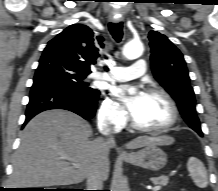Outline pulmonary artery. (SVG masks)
Segmentation results:
<instances>
[{
    "label": "pulmonary artery",
    "mask_w": 218,
    "mask_h": 191,
    "mask_svg": "<svg viewBox=\"0 0 218 191\" xmlns=\"http://www.w3.org/2000/svg\"><path fill=\"white\" fill-rule=\"evenodd\" d=\"M146 71V62L138 59L132 66L113 67L108 73H96L93 77L109 81H128L140 77Z\"/></svg>",
    "instance_id": "obj_1"
}]
</instances>
